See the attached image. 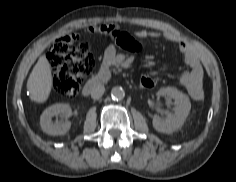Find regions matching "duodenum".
I'll use <instances>...</instances> for the list:
<instances>
[{"mask_svg":"<svg viewBox=\"0 0 236 182\" xmlns=\"http://www.w3.org/2000/svg\"><path fill=\"white\" fill-rule=\"evenodd\" d=\"M109 80V72L102 70L99 75L91 77L84 85L82 89L83 95H89L98 85L107 82Z\"/></svg>","mask_w":236,"mask_h":182,"instance_id":"duodenum-1","label":"duodenum"}]
</instances>
